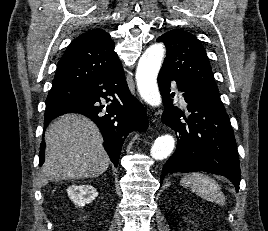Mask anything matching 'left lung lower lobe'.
Returning a JSON list of instances; mask_svg holds the SVG:
<instances>
[{
    "mask_svg": "<svg viewBox=\"0 0 268 231\" xmlns=\"http://www.w3.org/2000/svg\"><path fill=\"white\" fill-rule=\"evenodd\" d=\"M171 80L183 92L187 111L191 113L187 118L173 105ZM158 85L165 105L162 122L178 135L176 151L163 166L160 184L168 173L206 171L227 177L238 191L239 157L225 108L169 72L160 70ZM182 116L185 121L180 119Z\"/></svg>",
    "mask_w": 268,
    "mask_h": 231,
    "instance_id": "0a47b994",
    "label": "left lung lower lobe"
}]
</instances>
